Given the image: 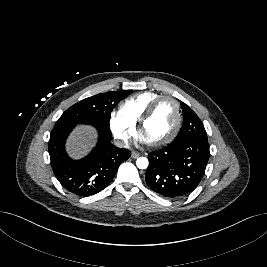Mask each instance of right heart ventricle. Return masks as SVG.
<instances>
[{
	"label": "right heart ventricle",
	"mask_w": 267,
	"mask_h": 267,
	"mask_svg": "<svg viewBox=\"0 0 267 267\" xmlns=\"http://www.w3.org/2000/svg\"><path fill=\"white\" fill-rule=\"evenodd\" d=\"M161 95L155 92H143L127 98L120 106V113L134 127L147 107Z\"/></svg>",
	"instance_id": "obj_1"
}]
</instances>
